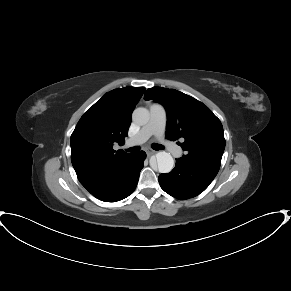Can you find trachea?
I'll return each mask as SVG.
<instances>
[{"mask_svg": "<svg viewBox=\"0 0 291 291\" xmlns=\"http://www.w3.org/2000/svg\"><path fill=\"white\" fill-rule=\"evenodd\" d=\"M152 148L154 150H163L164 149V147L161 144H153ZM139 150H140L139 147H131V148H128L126 151L127 152H137Z\"/></svg>", "mask_w": 291, "mask_h": 291, "instance_id": "3493384b", "label": "trachea"}]
</instances>
